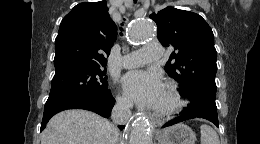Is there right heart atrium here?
Listing matches in <instances>:
<instances>
[{"instance_id":"right-heart-atrium-1","label":"right heart atrium","mask_w":260,"mask_h":144,"mask_svg":"<svg viewBox=\"0 0 260 144\" xmlns=\"http://www.w3.org/2000/svg\"><path fill=\"white\" fill-rule=\"evenodd\" d=\"M116 100H117L118 105L123 108H128L130 106V101L128 100L127 97H125L123 95H118L116 97Z\"/></svg>"}]
</instances>
